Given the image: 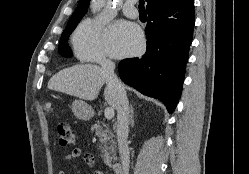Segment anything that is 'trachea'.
<instances>
[{
	"instance_id": "trachea-1",
	"label": "trachea",
	"mask_w": 249,
	"mask_h": 174,
	"mask_svg": "<svg viewBox=\"0 0 249 174\" xmlns=\"http://www.w3.org/2000/svg\"><path fill=\"white\" fill-rule=\"evenodd\" d=\"M139 10H145L144 0H139Z\"/></svg>"
}]
</instances>
